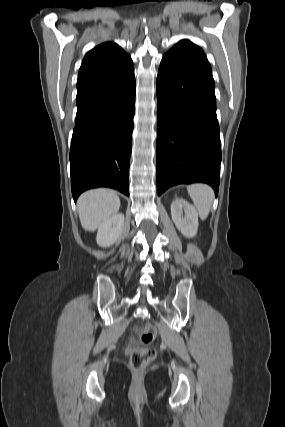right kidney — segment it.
Masks as SVG:
<instances>
[{
    "label": "right kidney",
    "instance_id": "1",
    "mask_svg": "<svg viewBox=\"0 0 285 427\" xmlns=\"http://www.w3.org/2000/svg\"><path fill=\"white\" fill-rule=\"evenodd\" d=\"M124 228V214L117 213L106 221H104L98 228L96 241L101 247H109L116 243L121 237Z\"/></svg>",
    "mask_w": 285,
    "mask_h": 427
}]
</instances>
